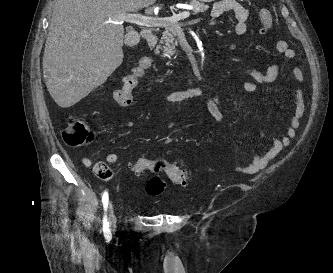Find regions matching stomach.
Segmentation results:
<instances>
[{"label": "stomach", "mask_w": 333, "mask_h": 273, "mask_svg": "<svg viewBox=\"0 0 333 273\" xmlns=\"http://www.w3.org/2000/svg\"><path fill=\"white\" fill-rule=\"evenodd\" d=\"M201 2H213L214 0H200Z\"/></svg>", "instance_id": "0dacf381"}]
</instances>
